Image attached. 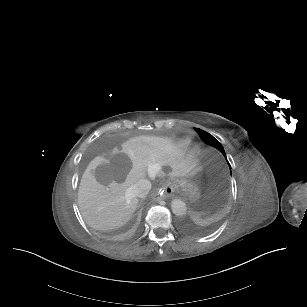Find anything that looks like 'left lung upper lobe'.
I'll return each instance as SVG.
<instances>
[{
	"mask_svg": "<svg viewBox=\"0 0 307 307\" xmlns=\"http://www.w3.org/2000/svg\"><path fill=\"white\" fill-rule=\"evenodd\" d=\"M196 131L199 133L201 139L206 143V144H209V145H212L214 147H216L217 149H219L222 154L226 157V154H225V151H224V148L223 146L221 145L220 142H218L211 134L199 129V128H196ZM229 167L231 168L230 164L228 163Z\"/></svg>",
	"mask_w": 307,
	"mask_h": 307,
	"instance_id": "5c2ea615",
	"label": "left lung upper lobe"
}]
</instances>
